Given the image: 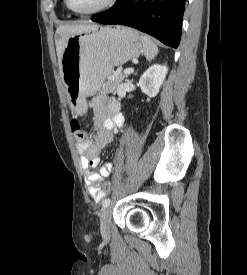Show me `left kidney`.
I'll use <instances>...</instances> for the list:
<instances>
[{"instance_id":"obj_1","label":"left kidney","mask_w":247,"mask_h":275,"mask_svg":"<svg viewBox=\"0 0 247 275\" xmlns=\"http://www.w3.org/2000/svg\"><path fill=\"white\" fill-rule=\"evenodd\" d=\"M168 68L164 65L154 64L150 66L139 80V86L144 94L155 97L161 88Z\"/></svg>"}]
</instances>
